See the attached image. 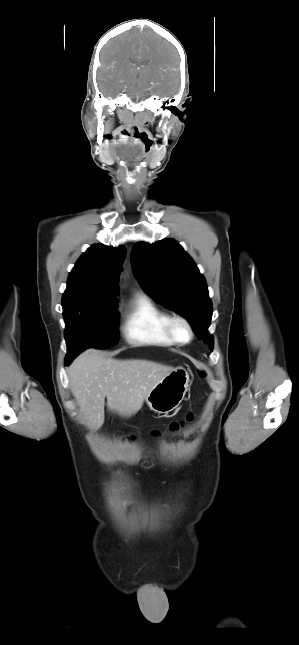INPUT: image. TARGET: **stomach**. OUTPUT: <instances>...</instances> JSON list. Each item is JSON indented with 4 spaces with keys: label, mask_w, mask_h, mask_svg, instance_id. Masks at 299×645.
<instances>
[{
    "label": "stomach",
    "mask_w": 299,
    "mask_h": 645,
    "mask_svg": "<svg viewBox=\"0 0 299 645\" xmlns=\"http://www.w3.org/2000/svg\"><path fill=\"white\" fill-rule=\"evenodd\" d=\"M188 384V372L184 368H176L151 389L145 398L146 403L151 410L168 414L180 405Z\"/></svg>",
    "instance_id": "0dacf381"
}]
</instances>
